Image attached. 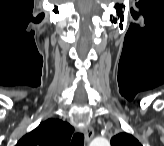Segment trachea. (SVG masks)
<instances>
[{
  "mask_svg": "<svg viewBox=\"0 0 164 146\" xmlns=\"http://www.w3.org/2000/svg\"><path fill=\"white\" fill-rule=\"evenodd\" d=\"M83 145H84V135L82 133H75L71 141V146H83Z\"/></svg>",
  "mask_w": 164,
  "mask_h": 146,
  "instance_id": "obj_1",
  "label": "trachea"
}]
</instances>
